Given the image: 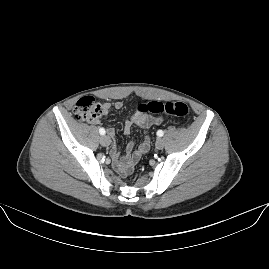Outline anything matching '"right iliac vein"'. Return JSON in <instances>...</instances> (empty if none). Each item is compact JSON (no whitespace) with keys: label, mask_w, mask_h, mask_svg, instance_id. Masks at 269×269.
<instances>
[{"label":"right iliac vein","mask_w":269,"mask_h":269,"mask_svg":"<svg viewBox=\"0 0 269 269\" xmlns=\"http://www.w3.org/2000/svg\"><path fill=\"white\" fill-rule=\"evenodd\" d=\"M100 143L102 144V146H109L111 143V139L108 135H103L100 138Z\"/></svg>","instance_id":"1"}]
</instances>
